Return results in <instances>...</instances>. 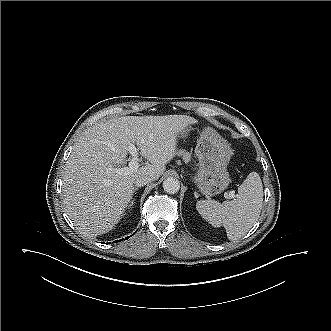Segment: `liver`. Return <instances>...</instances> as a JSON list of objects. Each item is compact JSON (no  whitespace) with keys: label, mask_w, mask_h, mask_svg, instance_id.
I'll return each instance as SVG.
<instances>
[{"label":"liver","mask_w":331,"mask_h":331,"mask_svg":"<svg viewBox=\"0 0 331 331\" xmlns=\"http://www.w3.org/2000/svg\"><path fill=\"white\" fill-rule=\"evenodd\" d=\"M193 123L184 115L126 116L86 131L63 175L67 212L79 230L97 236L113 229L131 200L135 179L148 175L157 180L177 153V135ZM130 144L151 164L119 174L116 169L125 164Z\"/></svg>","instance_id":"6515ba94"}]
</instances>
